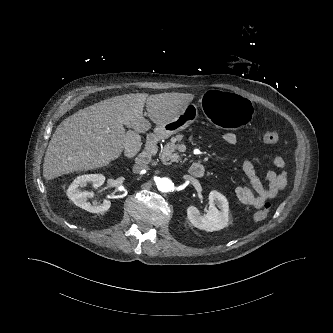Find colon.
Masks as SVG:
<instances>
[{"label":"colon","instance_id":"obj_1","mask_svg":"<svg viewBox=\"0 0 333 333\" xmlns=\"http://www.w3.org/2000/svg\"><path fill=\"white\" fill-rule=\"evenodd\" d=\"M278 138H279L278 133L275 131H267L263 135V141L266 144H274L278 141ZM271 207H272L271 203H266L262 210L254 214L253 217L254 220L256 222L263 221L267 217L269 211L271 210Z\"/></svg>","mask_w":333,"mask_h":333}]
</instances>
